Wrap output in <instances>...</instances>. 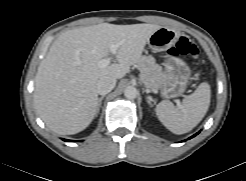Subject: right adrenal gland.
I'll list each match as a JSON object with an SVG mask.
<instances>
[{"label":"right adrenal gland","instance_id":"obj_1","mask_svg":"<svg viewBox=\"0 0 246 181\" xmlns=\"http://www.w3.org/2000/svg\"><path fill=\"white\" fill-rule=\"evenodd\" d=\"M105 95H102L99 99H98V107H97V113H99V110H100V107H101V104H102V100L104 99Z\"/></svg>","mask_w":246,"mask_h":181}]
</instances>
